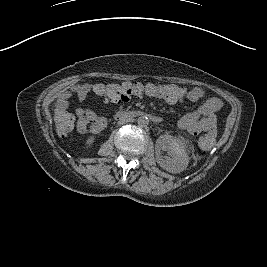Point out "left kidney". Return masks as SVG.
Segmentation results:
<instances>
[{
  "mask_svg": "<svg viewBox=\"0 0 267 267\" xmlns=\"http://www.w3.org/2000/svg\"><path fill=\"white\" fill-rule=\"evenodd\" d=\"M162 151L168 156L163 157ZM156 161L158 165L172 174L183 172L189 164V155L182 142L170 135H161L155 144Z\"/></svg>",
  "mask_w": 267,
  "mask_h": 267,
  "instance_id": "left-kidney-1",
  "label": "left kidney"
}]
</instances>
